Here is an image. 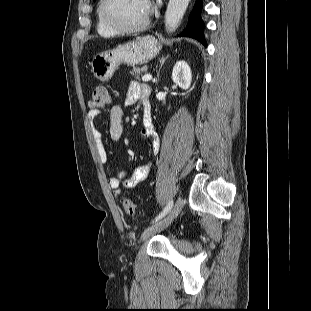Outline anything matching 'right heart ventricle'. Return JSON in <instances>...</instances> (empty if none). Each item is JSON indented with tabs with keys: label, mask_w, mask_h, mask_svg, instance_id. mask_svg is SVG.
Segmentation results:
<instances>
[{
	"label": "right heart ventricle",
	"mask_w": 311,
	"mask_h": 311,
	"mask_svg": "<svg viewBox=\"0 0 311 311\" xmlns=\"http://www.w3.org/2000/svg\"><path fill=\"white\" fill-rule=\"evenodd\" d=\"M101 4L102 0L99 1L97 8H96V31L99 35L104 37H110L116 35V32L108 27L102 19L101 16Z\"/></svg>",
	"instance_id": "1"
}]
</instances>
